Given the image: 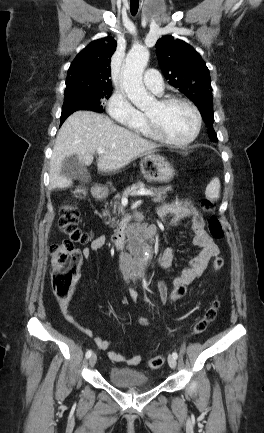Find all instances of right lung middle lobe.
<instances>
[{
  "instance_id": "right-lung-middle-lobe-1",
  "label": "right lung middle lobe",
  "mask_w": 264,
  "mask_h": 433,
  "mask_svg": "<svg viewBox=\"0 0 264 433\" xmlns=\"http://www.w3.org/2000/svg\"><path fill=\"white\" fill-rule=\"evenodd\" d=\"M112 88L88 93L73 94L65 97L61 113V123L73 112L77 110H92L103 112L102 99H108Z\"/></svg>"
}]
</instances>
